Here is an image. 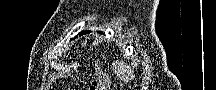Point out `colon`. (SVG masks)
I'll return each instance as SVG.
<instances>
[{"instance_id": "obj_1", "label": "colon", "mask_w": 216, "mask_h": 90, "mask_svg": "<svg viewBox=\"0 0 216 90\" xmlns=\"http://www.w3.org/2000/svg\"><path fill=\"white\" fill-rule=\"evenodd\" d=\"M90 90H110L109 77L98 61H96L95 80L92 82Z\"/></svg>"}]
</instances>
